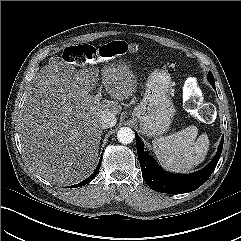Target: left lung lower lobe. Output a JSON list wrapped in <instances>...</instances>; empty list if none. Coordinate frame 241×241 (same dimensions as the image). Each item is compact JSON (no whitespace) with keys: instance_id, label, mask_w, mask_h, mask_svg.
I'll return each mask as SVG.
<instances>
[{"instance_id":"0a47b994","label":"left lung lower lobe","mask_w":241,"mask_h":241,"mask_svg":"<svg viewBox=\"0 0 241 241\" xmlns=\"http://www.w3.org/2000/svg\"><path fill=\"white\" fill-rule=\"evenodd\" d=\"M211 84L215 89V83L211 82ZM135 138L142 176L147 185L155 191L170 194L191 192L204 184L220 159L224 141L223 137L215 157L204 169L190 175H178L161 170L149 153L144 151V145L137 134Z\"/></svg>"}]
</instances>
